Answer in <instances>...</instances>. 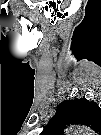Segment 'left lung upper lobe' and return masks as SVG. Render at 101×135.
Masks as SVG:
<instances>
[{
    "label": "left lung upper lobe",
    "instance_id": "5c2ea615",
    "mask_svg": "<svg viewBox=\"0 0 101 135\" xmlns=\"http://www.w3.org/2000/svg\"><path fill=\"white\" fill-rule=\"evenodd\" d=\"M94 105L95 103L84 98L64 101L58 105L55 116L63 120L65 124L80 123Z\"/></svg>",
    "mask_w": 101,
    "mask_h": 135
}]
</instances>
